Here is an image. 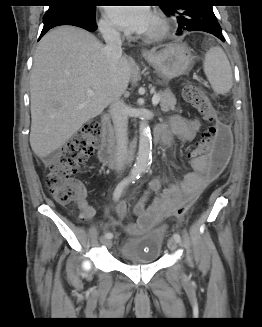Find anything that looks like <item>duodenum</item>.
Instances as JSON below:
<instances>
[{"label":"duodenum","mask_w":262,"mask_h":327,"mask_svg":"<svg viewBox=\"0 0 262 327\" xmlns=\"http://www.w3.org/2000/svg\"><path fill=\"white\" fill-rule=\"evenodd\" d=\"M157 126L154 130L155 139H157ZM136 146V142L133 143L131 149ZM98 157L100 161L104 164H116V151L114 145V137H113V128L111 124V119L109 114H104L102 116V136L98 149Z\"/></svg>","instance_id":"1"}]
</instances>
